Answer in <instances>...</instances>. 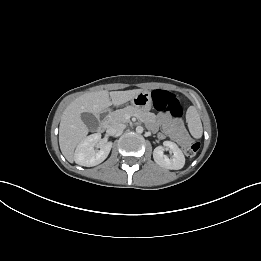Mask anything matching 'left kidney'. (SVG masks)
I'll return each mask as SVG.
<instances>
[{
  "label": "left kidney",
  "instance_id": "left-kidney-1",
  "mask_svg": "<svg viewBox=\"0 0 261 261\" xmlns=\"http://www.w3.org/2000/svg\"><path fill=\"white\" fill-rule=\"evenodd\" d=\"M164 146L169 148L173 153V158H168L163 154V147L158 146L153 151L154 161L161 167L170 170H179L185 165V156L179 147L171 141H165Z\"/></svg>",
  "mask_w": 261,
  "mask_h": 261
}]
</instances>
